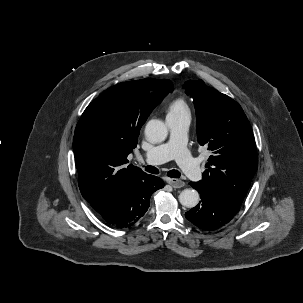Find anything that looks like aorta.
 Masks as SVG:
<instances>
[{
    "label": "aorta",
    "instance_id": "762f6f07",
    "mask_svg": "<svg viewBox=\"0 0 303 303\" xmlns=\"http://www.w3.org/2000/svg\"><path fill=\"white\" fill-rule=\"evenodd\" d=\"M168 129L164 122L152 119L145 126V136L151 143H160L166 139ZM199 193L195 189H185L179 195V202L187 208H194L199 202Z\"/></svg>",
    "mask_w": 303,
    "mask_h": 303
}]
</instances>
